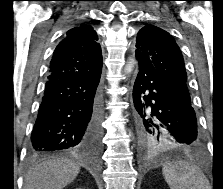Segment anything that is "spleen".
<instances>
[{
  "label": "spleen",
  "instance_id": "3e777b00",
  "mask_svg": "<svg viewBox=\"0 0 223 189\" xmlns=\"http://www.w3.org/2000/svg\"><path fill=\"white\" fill-rule=\"evenodd\" d=\"M162 172L170 189H208L206 177L191 163H168L164 165Z\"/></svg>",
  "mask_w": 223,
  "mask_h": 189
}]
</instances>
